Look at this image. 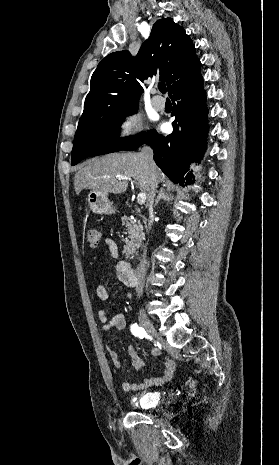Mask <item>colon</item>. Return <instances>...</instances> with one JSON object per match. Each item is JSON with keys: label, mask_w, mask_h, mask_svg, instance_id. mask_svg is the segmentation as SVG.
Listing matches in <instances>:
<instances>
[{"label": "colon", "mask_w": 279, "mask_h": 465, "mask_svg": "<svg viewBox=\"0 0 279 465\" xmlns=\"http://www.w3.org/2000/svg\"><path fill=\"white\" fill-rule=\"evenodd\" d=\"M86 240L92 248H97L101 242V232L98 229H89L86 232ZM194 383H191V387Z\"/></svg>", "instance_id": "obj_1"}]
</instances>
